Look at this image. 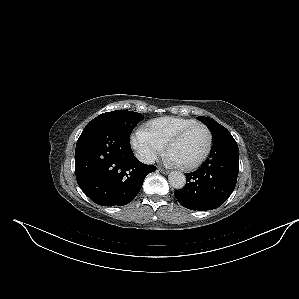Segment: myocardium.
I'll list each match as a JSON object with an SVG mask.
<instances>
[{"label":"myocardium","mask_w":299,"mask_h":299,"mask_svg":"<svg viewBox=\"0 0 299 299\" xmlns=\"http://www.w3.org/2000/svg\"><path fill=\"white\" fill-rule=\"evenodd\" d=\"M196 127H202L203 129H205V131L207 132L208 135V142H207V146L206 149L203 153V155L194 163L191 164H180L179 167L183 170H193L196 169L198 167H200L208 158L211 150H212V146H213V135L211 130L209 129V127L207 125H205L204 123L201 122H195L185 128H183L182 130H180L178 133H176L167 143H166V150L169 153L170 149L177 144L178 142H180L192 129L196 128Z\"/></svg>","instance_id":"1"}]
</instances>
